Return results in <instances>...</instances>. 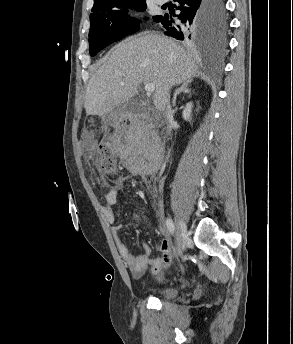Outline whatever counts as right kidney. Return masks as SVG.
<instances>
[{"instance_id":"obj_1","label":"right kidney","mask_w":293,"mask_h":344,"mask_svg":"<svg viewBox=\"0 0 293 344\" xmlns=\"http://www.w3.org/2000/svg\"><path fill=\"white\" fill-rule=\"evenodd\" d=\"M192 107H193V104L192 102H189L186 104L184 110H183V113H182V116L184 118V120L186 121H191V111H192Z\"/></svg>"}]
</instances>
